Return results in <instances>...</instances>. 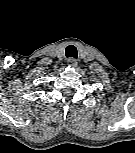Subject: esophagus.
Listing matches in <instances>:
<instances>
[{"mask_svg": "<svg viewBox=\"0 0 135 153\" xmlns=\"http://www.w3.org/2000/svg\"><path fill=\"white\" fill-rule=\"evenodd\" d=\"M67 63H68V66H69V67H76V66H77V61H76V59H74V58H69V59L67 60Z\"/></svg>", "mask_w": 135, "mask_h": 153, "instance_id": "esophagus-1", "label": "esophagus"}]
</instances>
